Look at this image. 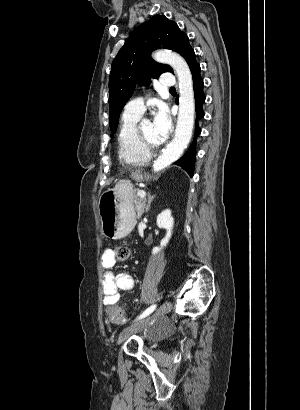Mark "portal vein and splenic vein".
Here are the masks:
<instances>
[{"label": "portal vein and splenic vein", "mask_w": 300, "mask_h": 410, "mask_svg": "<svg viewBox=\"0 0 300 410\" xmlns=\"http://www.w3.org/2000/svg\"><path fill=\"white\" fill-rule=\"evenodd\" d=\"M137 196L144 198L146 196V192L144 190H138L137 191Z\"/></svg>", "instance_id": "portal-vein-and-splenic-vein-1"}]
</instances>
